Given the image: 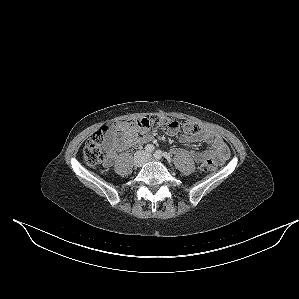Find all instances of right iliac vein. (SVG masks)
Returning a JSON list of instances; mask_svg holds the SVG:
<instances>
[{"label":"right iliac vein","mask_w":299,"mask_h":299,"mask_svg":"<svg viewBox=\"0 0 299 299\" xmlns=\"http://www.w3.org/2000/svg\"><path fill=\"white\" fill-rule=\"evenodd\" d=\"M134 163L137 167H140L143 164V160L141 156H137L134 160Z\"/></svg>","instance_id":"1"}]
</instances>
